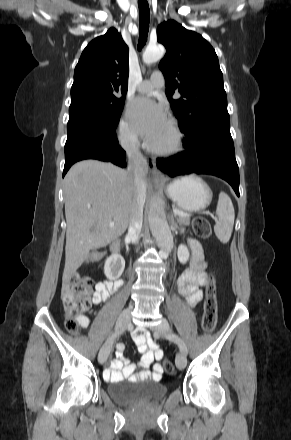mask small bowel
I'll return each instance as SVG.
<instances>
[{"label":"small bowel","instance_id":"obj_1","mask_svg":"<svg viewBox=\"0 0 291 440\" xmlns=\"http://www.w3.org/2000/svg\"><path fill=\"white\" fill-rule=\"evenodd\" d=\"M187 243L191 250V263L188 268L178 280V291L185 297L186 302L190 306L198 305L203 297V287L207 283L205 269L207 268V261L205 260L203 249L199 241L193 238H188ZM121 286V282H102L95 287L93 301L100 303L108 300L111 294L116 292ZM80 325L84 328L90 325V319L87 316L78 318ZM134 340L137 343L138 350L142 354V359L138 365L131 363L120 351L117 357L112 359L110 366L104 371V378L106 380L118 381L124 378L129 380H147L157 379L163 372V367L159 363L162 359V351L154 342L148 333L134 334ZM155 362V363H154ZM152 371L147 370L151 365ZM141 367L143 370L137 372V368Z\"/></svg>","mask_w":291,"mask_h":440}]
</instances>
